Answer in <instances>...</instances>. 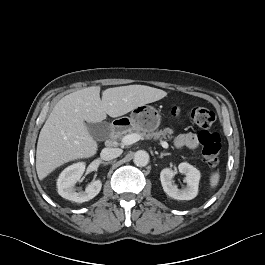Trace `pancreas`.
I'll return each instance as SVG.
<instances>
[{
    "instance_id": "cf45deb5",
    "label": "pancreas",
    "mask_w": 265,
    "mask_h": 265,
    "mask_svg": "<svg viewBox=\"0 0 265 265\" xmlns=\"http://www.w3.org/2000/svg\"><path fill=\"white\" fill-rule=\"evenodd\" d=\"M132 130H134L137 133H139L142 138H145V139L153 138L154 140H158V139L162 140V139H167V138L168 139H172L171 134L173 133V131L170 128H165L164 130L152 131V132H148V133L140 132L139 130H136V129H129L126 132L131 133ZM126 132L121 133L120 135H118V137H121Z\"/></svg>"
}]
</instances>
